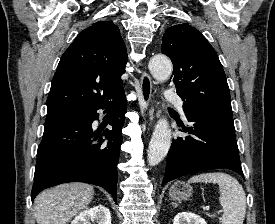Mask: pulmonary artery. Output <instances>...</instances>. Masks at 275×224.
Instances as JSON below:
<instances>
[{
  "label": "pulmonary artery",
  "mask_w": 275,
  "mask_h": 224,
  "mask_svg": "<svg viewBox=\"0 0 275 224\" xmlns=\"http://www.w3.org/2000/svg\"><path fill=\"white\" fill-rule=\"evenodd\" d=\"M164 97L167 101H171V102L175 103L177 108L181 112H183V100L176 92L167 90L164 92Z\"/></svg>",
  "instance_id": "pulmonary-artery-1"
}]
</instances>
